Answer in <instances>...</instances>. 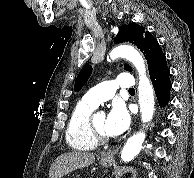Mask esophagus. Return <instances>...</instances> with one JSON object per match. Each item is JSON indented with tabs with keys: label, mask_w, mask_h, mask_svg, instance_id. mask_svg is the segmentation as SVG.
Returning a JSON list of instances; mask_svg holds the SVG:
<instances>
[{
	"label": "esophagus",
	"mask_w": 194,
	"mask_h": 178,
	"mask_svg": "<svg viewBox=\"0 0 194 178\" xmlns=\"http://www.w3.org/2000/svg\"><path fill=\"white\" fill-rule=\"evenodd\" d=\"M117 151H118V148L115 150L105 152L101 155V157L104 159H111V158H113V156L116 154Z\"/></svg>",
	"instance_id": "1"
}]
</instances>
